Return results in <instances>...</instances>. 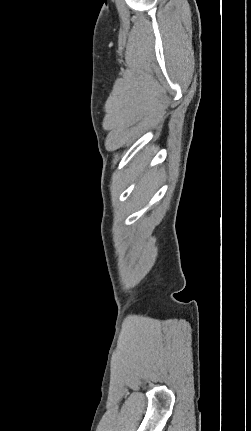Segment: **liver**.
<instances>
[{
	"label": "liver",
	"mask_w": 251,
	"mask_h": 431,
	"mask_svg": "<svg viewBox=\"0 0 251 431\" xmlns=\"http://www.w3.org/2000/svg\"><path fill=\"white\" fill-rule=\"evenodd\" d=\"M146 165L147 163L140 160L138 162V165L131 172V175H130L131 179L134 180L135 178H137L144 170ZM155 180H156V174L150 170L140 178L136 189L141 194H144L145 192H149L153 188L155 184Z\"/></svg>",
	"instance_id": "6515ba94"
}]
</instances>
